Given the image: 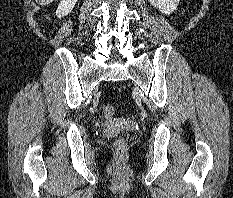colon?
Masks as SVG:
<instances>
[{
	"mask_svg": "<svg viewBox=\"0 0 233 198\" xmlns=\"http://www.w3.org/2000/svg\"><path fill=\"white\" fill-rule=\"evenodd\" d=\"M102 112L106 117H111L114 115L115 109L110 104H104L102 106ZM126 148H127V144H126V141L123 137L118 138L114 142V150H115L116 156L119 160H121L124 157L125 152H126Z\"/></svg>",
	"mask_w": 233,
	"mask_h": 198,
	"instance_id": "obj_1",
	"label": "colon"
}]
</instances>
